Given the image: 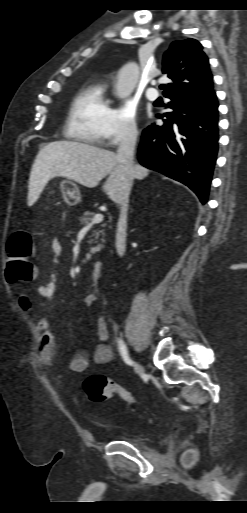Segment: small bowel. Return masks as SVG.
Returning a JSON list of instances; mask_svg holds the SVG:
<instances>
[{
  "instance_id": "obj_1",
  "label": "small bowel",
  "mask_w": 247,
  "mask_h": 513,
  "mask_svg": "<svg viewBox=\"0 0 247 513\" xmlns=\"http://www.w3.org/2000/svg\"><path fill=\"white\" fill-rule=\"evenodd\" d=\"M51 250L54 255L55 262L59 261L62 253V243L58 238L51 241ZM37 269L34 270V276L31 280H36ZM58 288V278L56 274L52 273L49 278L37 285L38 294L43 297H51L55 294ZM98 301V297L93 294H87L83 299L85 307H92ZM32 300L24 293H20V305L24 308L30 309ZM37 330L40 334L38 344V358L40 362L47 366H53L56 359L55 339L52 333L50 323L46 319H39L37 322ZM96 332L98 343L93 352V361L98 365L107 364L113 359V352L111 347L106 343L108 338V324L104 317H99L96 322ZM90 365V358L86 351H78L68 363V368L72 372L83 373Z\"/></svg>"
}]
</instances>
